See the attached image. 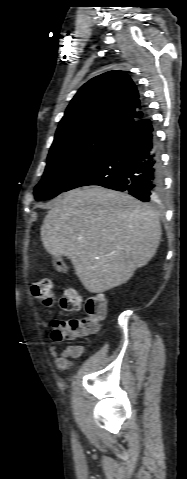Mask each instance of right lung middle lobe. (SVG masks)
<instances>
[{
	"label": "right lung middle lobe",
	"mask_w": 187,
	"mask_h": 479,
	"mask_svg": "<svg viewBox=\"0 0 187 479\" xmlns=\"http://www.w3.org/2000/svg\"><path fill=\"white\" fill-rule=\"evenodd\" d=\"M122 132L118 128L100 124L56 135L43 178L35 187V199H51L63 192L70 181L99 157Z\"/></svg>",
	"instance_id": "right-lung-middle-lobe-1"
}]
</instances>
